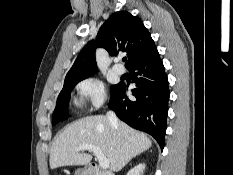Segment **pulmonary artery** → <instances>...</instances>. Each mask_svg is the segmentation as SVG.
Masks as SVG:
<instances>
[{
    "instance_id": "1",
    "label": "pulmonary artery",
    "mask_w": 233,
    "mask_h": 175,
    "mask_svg": "<svg viewBox=\"0 0 233 175\" xmlns=\"http://www.w3.org/2000/svg\"><path fill=\"white\" fill-rule=\"evenodd\" d=\"M113 70L115 73H117L118 75H122L125 72V69L123 68L122 65L120 64H115L113 67Z\"/></svg>"
}]
</instances>
